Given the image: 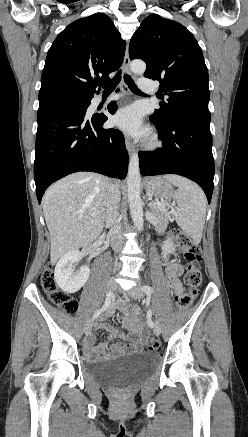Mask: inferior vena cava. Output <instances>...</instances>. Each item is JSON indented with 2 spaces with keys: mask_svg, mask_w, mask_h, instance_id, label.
Masks as SVG:
<instances>
[{
  "mask_svg": "<svg viewBox=\"0 0 248 437\" xmlns=\"http://www.w3.org/2000/svg\"><path fill=\"white\" fill-rule=\"evenodd\" d=\"M120 202V192L117 185L111 181L108 182V192L105 202V222L106 226L113 231L111 237V246L114 251H118L124 244V239L121 235V224L118 218V204Z\"/></svg>",
  "mask_w": 248,
  "mask_h": 437,
  "instance_id": "1",
  "label": "inferior vena cava"
}]
</instances>
